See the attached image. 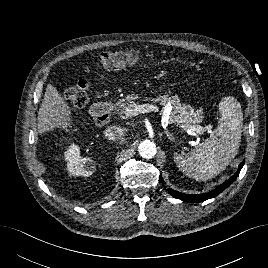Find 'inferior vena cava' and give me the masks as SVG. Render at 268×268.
<instances>
[{"label":"inferior vena cava","mask_w":268,"mask_h":268,"mask_svg":"<svg viewBox=\"0 0 268 268\" xmlns=\"http://www.w3.org/2000/svg\"><path fill=\"white\" fill-rule=\"evenodd\" d=\"M125 133L124 128L120 126L111 125L104 130V135L109 140H119L123 138Z\"/></svg>","instance_id":"1"}]
</instances>
